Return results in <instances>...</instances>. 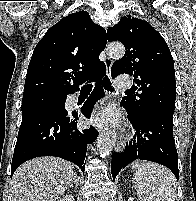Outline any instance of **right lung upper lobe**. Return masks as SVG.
Masks as SVG:
<instances>
[{
    "label": "right lung upper lobe",
    "instance_id": "obj_1",
    "mask_svg": "<svg viewBox=\"0 0 196 201\" xmlns=\"http://www.w3.org/2000/svg\"><path fill=\"white\" fill-rule=\"evenodd\" d=\"M106 31L82 10L62 18L36 45L30 60L23 97L67 96L84 82L106 73L99 60Z\"/></svg>",
    "mask_w": 196,
    "mask_h": 201
}]
</instances>
